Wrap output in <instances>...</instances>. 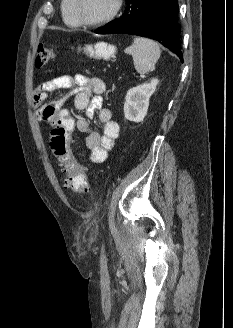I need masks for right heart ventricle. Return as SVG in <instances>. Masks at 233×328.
<instances>
[{"mask_svg": "<svg viewBox=\"0 0 233 328\" xmlns=\"http://www.w3.org/2000/svg\"><path fill=\"white\" fill-rule=\"evenodd\" d=\"M61 12L63 21L67 26L71 28L80 26L74 14V0H62Z\"/></svg>", "mask_w": 233, "mask_h": 328, "instance_id": "obj_1", "label": "right heart ventricle"}]
</instances>
